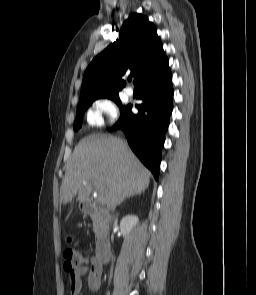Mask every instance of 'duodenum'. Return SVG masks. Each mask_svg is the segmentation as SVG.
<instances>
[{
    "mask_svg": "<svg viewBox=\"0 0 256 295\" xmlns=\"http://www.w3.org/2000/svg\"><path fill=\"white\" fill-rule=\"evenodd\" d=\"M81 208L83 212L93 219L98 225L103 227L106 223V217L98 211V209L90 202L83 201L81 203ZM110 246L107 238L104 236L102 230L97 237L95 258L99 263H106L109 260Z\"/></svg>",
    "mask_w": 256,
    "mask_h": 295,
    "instance_id": "410a0bca",
    "label": "duodenum"
}]
</instances>
